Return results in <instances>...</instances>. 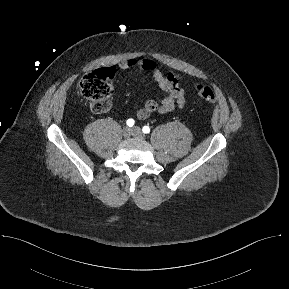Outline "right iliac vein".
<instances>
[{"mask_svg":"<svg viewBox=\"0 0 289 289\" xmlns=\"http://www.w3.org/2000/svg\"><path fill=\"white\" fill-rule=\"evenodd\" d=\"M122 134L124 137L128 138L132 135V129L129 128V127H124L123 128V131H122Z\"/></svg>","mask_w":289,"mask_h":289,"instance_id":"1","label":"right iliac vein"}]
</instances>
